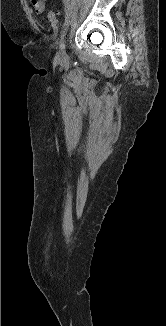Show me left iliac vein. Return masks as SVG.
Returning a JSON list of instances; mask_svg holds the SVG:
<instances>
[{
	"label": "left iliac vein",
	"instance_id": "1",
	"mask_svg": "<svg viewBox=\"0 0 166 326\" xmlns=\"http://www.w3.org/2000/svg\"><path fill=\"white\" fill-rule=\"evenodd\" d=\"M59 56L62 57V58H65L67 56V53H66V43H62L60 45Z\"/></svg>",
	"mask_w": 166,
	"mask_h": 326
}]
</instances>
